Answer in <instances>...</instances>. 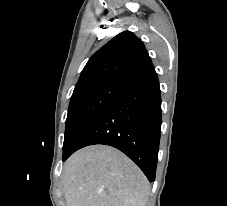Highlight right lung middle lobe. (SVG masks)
<instances>
[{"mask_svg":"<svg viewBox=\"0 0 227 206\" xmlns=\"http://www.w3.org/2000/svg\"><path fill=\"white\" fill-rule=\"evenodd\" d=\"M128 82L118 79L98 81L78 90L71 96L63 144V159L74 149L90 124L119 97Z\"/></svg>","mask_w":227,"mask_h":206,"instance_id":"obj_1","label":"right lung middle lobe"}]
</instances>
